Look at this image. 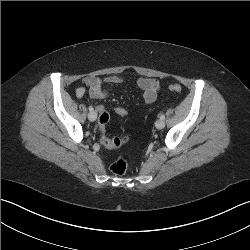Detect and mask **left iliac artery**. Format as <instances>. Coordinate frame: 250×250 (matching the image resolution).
<instances>
[{
  "mask_svg": "<svg viewBox=\"0 0 250 250\" xmlns=\"http://www.w3.org/2000/svg\"><path fill=\"white\" fill-rule=\"evenodd\" d=\"M160 119H161V120H164V119H165V115L162 114V115L160 116Z\"/></svg>",
  "mask_w": 250,
  "mask_h": 250,
  "instance_id": "obj_1",
  "label": "left iliac artery"
}]
</instances>
